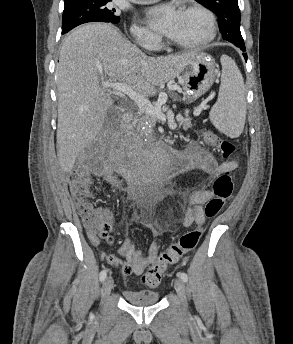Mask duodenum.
<instances>
[{
	"mask_svg": "<svg viewBox=\"0 0 293 344\" xmlns=\"http://www.w3.org/2000/svg\"><path fill=\"white\" fill-rule=\"evenodd\" d=\"M132 121V115L127 114L122 119V127L129 126ZM174 162L178 165L180 170L183 166L188 163V156L184 152H175L174 153Z\"/></svg>",
	"mask_w": 293,
	"mask_h": 344,
	"instance_id": "1",
	"label": "duodenum"
}]
</instances>
